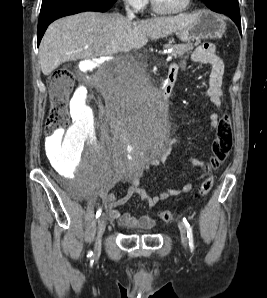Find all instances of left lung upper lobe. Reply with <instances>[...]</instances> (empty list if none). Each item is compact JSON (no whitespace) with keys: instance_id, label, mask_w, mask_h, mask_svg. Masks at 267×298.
<instances>
[{"instance_id":"obj_1","label":"left lung upper lobe","mask_w":267,"mask_h":298,"mask_svg":"<svg viewBox=\"0 0 267 298\" xmlns=\"http://www.w3.org/2000/svg\"><path fill=\"white\" fill-rule=\"evenodd\" d=\"M208 8L213 11H217L218 8H227L229 6L236 5L238 6L237 0H202Z\"/></svg>"}]
</instances>
